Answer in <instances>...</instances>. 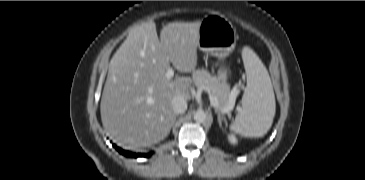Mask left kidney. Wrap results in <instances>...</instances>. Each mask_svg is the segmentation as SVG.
<instances>
[{
  "instance_id": "left-kidney-1",
  "label": "left kidney",
  "mask_w": 365,
  "mask_h": 180,
  "mask_svg": "<svg viewBox=\"0 0 365 180\" xmlns=\"http://www.w3.org/2000/svg\"><path fill=\"white\" fill-rule=\"evenodd\" d=\"M228 139L231 143L235 144L237 142L236 138L233 135H229Z\"/></svg>"
}]
</instances>
